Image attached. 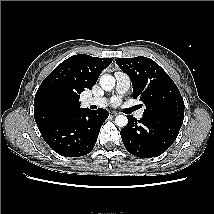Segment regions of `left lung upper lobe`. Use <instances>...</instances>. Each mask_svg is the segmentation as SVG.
<instances>
[{
    "instance_id": "left-lung-upper-lobe-1",
    "label": "left lung upper lobe",
    "mask_w": 214,
    "mask_h": 214,
    "mask_svg": "<svg viewBox=\"0 0 214 214\" xmlns=\"http://www.w3.org/2000/svg\"><path fill=\"white\" fill-rule=\"evenodd\" d=\"M116 63L132 82L133 98L144 102L146 108L143 116L183 123V98L162 67L142 56L118 58Z\"/></svg>"
}]
</instances>
